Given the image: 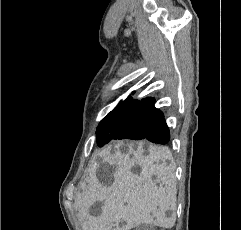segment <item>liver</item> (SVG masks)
Listing matches in <instances>:
<instances>
[{
    "label": "liver",
    "instance_id": "liver-1",
    "mask_svg": "<svg viewBox=\"0 0 241 230\" xmlns=\"http://www.w3.org/2000/svg\"><path fill=\"white\" fill-rule=\"evenodd\" d=\"M129 153L110 147L101 150V164L94 163L81 193L76 196L75 207L83 220V230H129L143 223H154L163 228H172L176 221V197L174 192L175 163L167 147L141 144L137 150L128 145ZM167 161H170L167 164ZM106 165L113 183L106 187L98 179L97 168ZM139 165V175L132 168ZM153 176H156L153 179ZM102 202L101 214L94 216L90 208ZM171 211V216H167ZM125 223L118 227L119 223Z\"/></svg>",
    "mask_w": 241,
    "mask_h": 230
}]
</instances>
